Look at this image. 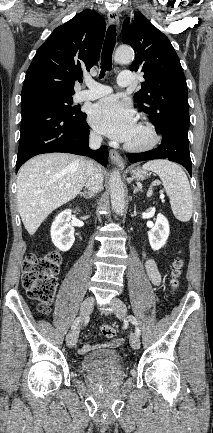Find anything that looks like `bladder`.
<instances>
[{"label": "bladder", "instance_id": "31cf9c89", "mask_svg": "<svg viewBox=\"0 0 213 433\" xmlns=\"http://www.w3.org/2000/svg\"><path fill=\"white\" fill-rule=\"evenodd\" d=\"M121 354L116 350L103 349L91 352L81 359V368L87 373H98L119 369Z\"/></svg>", "mask_w": 213, "mask_h": 433}]
</instances>
